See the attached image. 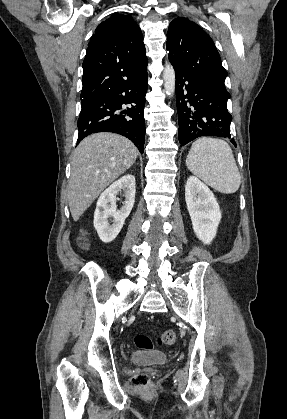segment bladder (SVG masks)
Here are the masks:
<instances>
[{
	"label": "bladder",
	"instance_id": "1",
	"mask_svg": "<svg viewBox=\"0 0 287 419\" xmlns=\"http://www.w3.org/2000/svg\"><path fill=\"white\" fill-rule=\"evenodd\" d=\"M168 360L167 355L156 352H134L131 361L141 365H159Z\"/></svg>",
	"mask_w": 287,
	"mask_h": 419
}]
</instances>
